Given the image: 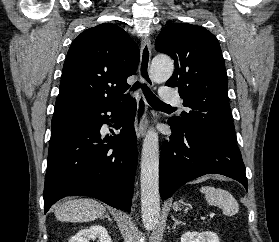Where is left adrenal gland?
<instances>
[{
	"label": "left adrenal gland",
	"instance_id": "1",
	"mask_svg": "<svg viewBox=\"0 0 279 242\" xmlns=\"http://www.w3.org/2000/svg\"><path fill=\"white\" fill-rule=\"evenodd\" d=\"M172 219H173V221H174L173 229H175L176 226L179 225V224L185 225L184 222L178 221V220H177L175 217H173V216H172Z\"/></svg>",
	"mask_w": 279,
	"mask_h": 242
}]
</instances>
